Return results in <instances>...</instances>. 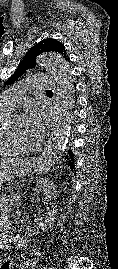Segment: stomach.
I'll return each instance as SVG.
<instances>
[{"label":"stomach","mask_w":118,"mask_h":269,"mask_svg":"<svg viewBox=\"0 0 118 269\" xmlns=\"http://www.w3.org/2000/svg\"><path fill=\"white\" fill-rule=\"evenodd\" d=\"M34 165L31 160L19 161L10 166L0 169V186L3 182L11 180L15 177H23L28 175Z\"/></svg>","instance_id":"0dacf381"}]
</instances>
